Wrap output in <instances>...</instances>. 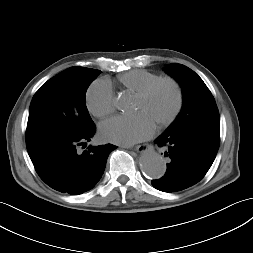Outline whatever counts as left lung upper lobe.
<instances>
[{
	"instance_id": "left-lung-upper-lobe-1",
	"label": "left lung upper lobe",
	"mask_w": 253,
	"mask_h": 253,
	"mask_svg": "<svg viewBox=\"0 0 253 253\" xmlns=\"http://www.w3.org/2000/svg\"><path fill=\"white\" fill-rule=\"evenodd\" d=\"M182 87L183 106L168 129L183 127L201 120L217 121L219 112L215 100L203 80L182 64H170L165 69Z\"/></svg>"
}]
</instances>
